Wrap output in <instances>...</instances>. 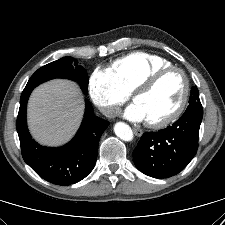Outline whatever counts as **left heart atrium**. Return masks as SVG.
Segmentation results:
<instances>
[{"label": "left heart atrium", "mask_w": 225, "mask_h": 225, "mask_svg": "<svg viewBox=\"0 0 225 225\" xmlns=\"http://www.w3.org/2000/svg\"><path fill=\"white\" fill-rule=\"evenodd\" d=\"M125 117L131 121L141 122L145 121V115L137 104H131L127 107L124 113Z\"/></svg>", "instance_id": "39dd6f15"}]
</instances>
